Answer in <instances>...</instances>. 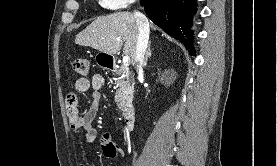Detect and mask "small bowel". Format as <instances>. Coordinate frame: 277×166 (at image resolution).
<instances>
[{"mask_svg": "<svg viewBox=\"0 0 277 166\" xmlns=\"http://www.w3.org/2000/svg\"><path fill=\"white\" fill-rule=\"evenodd\" d=\"M104 84V78L100 74H94L91 79L79 78L75 83L77 93L85 94L92 90V103L85 114L78 112V98L75 94H70L66 99V112L72 129L85 131L83 138L86 143L92 144L97 141V130L92 127L101 98V89ZM101 153L109 158H119L124 155V151L112 143L109 134H105L100 141ZM81 166H87L82 164Z\"/></svg>", "mask_w": 277, "mask_h": 166, "instance_id": "obj_1", "label": "small bowel"}]
</instances>
